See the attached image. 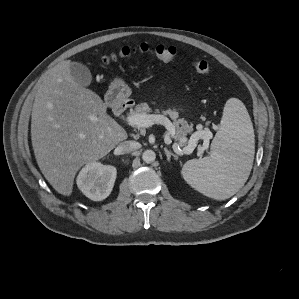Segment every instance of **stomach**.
I'll return each mask as SVG.
<instances>
[{"label":"stomach","instance_id":"1","mask_svg":"<svg viewBox=\"0 0 299 299\" xmlns=\"http://www.w3.org/2000/svg\"><path fill=\"white\" fill-rule=\"evenodd\" d=\"M109 93L115 100L124 101L130 96L131 90L120 78H115L110 85Z\"/></svg>","mask_w":299,"mask_h":299}]
</instances>
